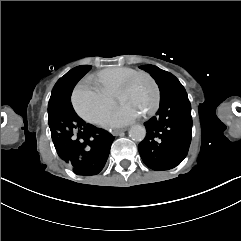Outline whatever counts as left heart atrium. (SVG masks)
Returning a JSON list of instances; mask_svg holds the SVG:
<instances>
[{
  "mask_svg": "<svg viewBox=\"0 0 241 241\" xmlns=\"http://www.w3.org/2000/svg\"><path fill=\"white\" fill-rule=\"evenodd\" d=\"M137 118V114L127 109H117L109 113L103 124L111 127L123 126Z\"/></svg>",
  "mask_w": 241,
  "mask_h": 241,
  "instance_id": "39dd6f15",
  "label": "left heart atrium"
}]
</instances>
